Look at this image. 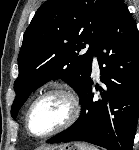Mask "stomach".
<instances>
[{
  "label": "stomach",
  "mask_w": 139,
  "mask_h": 150,
  "mask_svg": "<svg viewBox=\"0 0 139 150\" xmlns=\"http://www.w3.org/2000/svg\"><path fill=\"white\" fill-rule=\"evenodd\" d=\"M46 150H89V147L79 143L63 144L55 148H49Z\"/></svg>",
  "instance_id": "1"
}]
</instances>
